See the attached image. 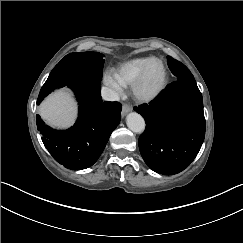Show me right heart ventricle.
I'll return each mask as SVG.
<instances>
[{
  "label": "right heart ventricle",
  "mask_w": 243,
  "mask_h": 243,
  "mask_svg": "<svg viewBox=\"0 0 243 243\" xmlns=\"http://www.w3.org/2000/svg\"><path fill=\"white\" fill-rule=\"evenodd\" d=\"M157 59L159 58L155 56L128 58L119 62L115 66L114 70L123 87L132 88L144 69Z\"/></svg>",
  "instance_id": "right-heart-ventricle-1"
}]
</instances>
